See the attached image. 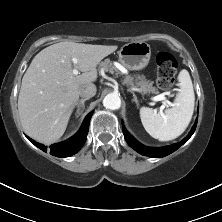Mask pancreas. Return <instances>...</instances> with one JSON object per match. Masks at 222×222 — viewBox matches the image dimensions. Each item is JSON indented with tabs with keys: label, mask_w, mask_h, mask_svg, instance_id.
<instances>
[{
	"label": "pancreas",
	"mask_w": 222,
	"mask_h": 222,
	"mask_svg": "<svg viewBox=\"0 0 222 222\" xmlns=\"http://www.w3.org/2000/svg\"><path fill=\"white\" fill-rule=\"evenodd\" d=\"M100 69L103 71H109L112 73L116 72L117 75L121 74L118 71V69L114 66L112 61H110V59H105L104 61H102L100 63ZM124 83L131 86L134 85L133 78L130 76H126ZM152 84L153 83L151 81H146V80H141L136 83V85L140 87L143 93L158 94L159 93L158 90L156 89V87H153Z\"/></svg>",
	"instance_id": "cf45deb5"
}]
</instances>
